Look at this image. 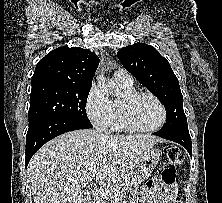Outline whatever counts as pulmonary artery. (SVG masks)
Segmentation results:
<instances>
[{
    "label": "pulmonary artery",
    "mask_w": 222,
    "mask_h": 203,
    "mask_svg": "<svg viewBox=\"0 0 222 203\" xmlns=\"http://www.w3.org/2000/svg\"><path fill=\"white\" fill-rule=\"evenodd\" d=\"M113 78L118 85L125 87L133 86V78L126 70L123 69L116 70L114 72Z\"/></svg>",
    "instance_id": "1"
}]
</instances>
